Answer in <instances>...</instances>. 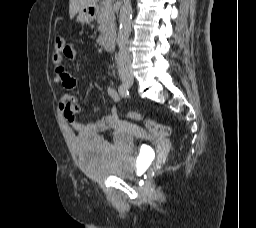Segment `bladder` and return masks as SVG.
Segmentation results:
<instances>
[{"instance_id":"bladder-1","label":"bladder","mask_w":256,"mask_h":228,"mask_svg":"<svg viewBox=\"0 0 256 228\" xmlns=\"http://www.w3.org/2000/svg\"><path fill=\"white\" fill-rule=\"evenodd\" d=\"M76 149L85 170L95 178L127 179L137 170L134 138L131 135L118 134L114 142H108L91 134H83L76 139Z\"/></svg>"}]
</instances>
